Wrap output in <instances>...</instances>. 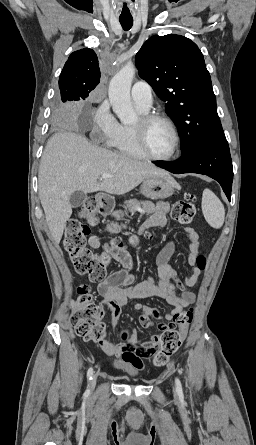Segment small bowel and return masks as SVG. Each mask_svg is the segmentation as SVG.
Here are the masks:
<instances>
[{"label": "small bowel", "mask_w": 256, "mask_h": 445, "mask_svg": "<svg viewBox=\"0 0 256 445\" xmlns=\"http://www.w3.org/2000/svg\"><path fill=\"white\" fill-rule=\"evenodd\" d=\"M168 211L169 204L167 202H157L154 212L144 222L141 229L147 230L153 227L165 226L167 224ZM118 230L119 226L116 224H108L106 226L107 232H116ZM183 232L185 241L189 246L188 262L190 265H194L200 250L199 237L191 227H184ZM88 243L93 249L102 248L124 267L122 270L111 273L98 284V293L105 298V303L102 305V320L107 313H110L111 324L116 327L123 307L130 301L150 296L165 299L174 307L171 312L163 317L156 308L135 303L134 309L139 312L140 325L144 328H150L154 325V320H157L159 321L158 328L161 333L151 335L146 341H143L135 330L129 343L113 344L106 342L102 345V349L107 355L121 356V361L118 364H125L134 370H142L144 367L142 358L153 353L159 345L161 334L168 328L175 327V317L195 301V294L188 288L194 287L197 284L201 269L199 267L194 268L182 280H179L175 271L168 264L175 251V243L169 241L157 255L158 278L150 277L145 281L134 283L135 277L132 272L134 263L125 250L102 243L101 236L99 235H92ZM163 319L166 322H163ZM183 333L185 336L187 328L183 329Z\"/></svg>", "instance_id": "1"}]
</instances>
